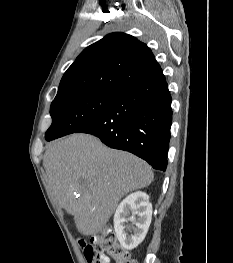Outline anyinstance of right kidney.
Segmentation results:
<instances>
[{
    "label": "right kidney",
    "mask_w": 233,
    "mask_h": 263,
    "mask_svg": "<svg viewBox=\"0 0 233 263\" xmlns=\"http://www.w3.org/2000/svg\"><path fill=\"white\" fill-rule=\"evenodd\" d=\"M152 219V204L142 191L128 195L114 214L116 236L126 250L136 248L145 238Z\"/></svg>",
    "instance_id": "ca27d5eb"
}]
</instances>
